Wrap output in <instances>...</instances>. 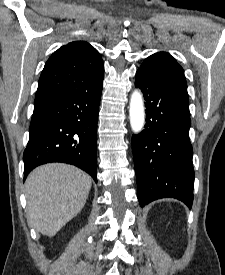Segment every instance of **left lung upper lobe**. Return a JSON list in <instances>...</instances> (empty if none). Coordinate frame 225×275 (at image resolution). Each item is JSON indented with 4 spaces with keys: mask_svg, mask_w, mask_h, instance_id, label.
Masks as SVG:
<instances>
[{
    "mask_svg": "<svg viewBox=\"0 0 225 275\" xmlns=\"http://www.w3.org/2000/svg\"><path fill=\"white\" fill-rule=\"evenodd\" d=\"M138 70L154 81L188 97L184 70L169 53L158 52L149 56Z\"/></svg>",
    "mask_w": 225,
    "mask_h": 275,
    "instance_id": "obj_1",
    "label": "left lung upper lobe"
}]
</instances>
